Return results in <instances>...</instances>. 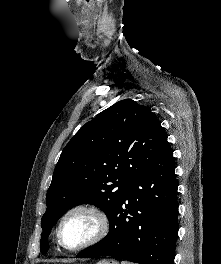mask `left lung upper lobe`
I'll use <instances>...</instances> for the list:
<instances>
[{
    "label": "left lung upper lobe",
    "instance_id": "1",
    "mask_svg": "<svg viewBox=\"0 0 221 264\" xmlns=\"http://www.w3.org/2000/svg\"><path fill=\"white\" fill-rule=\"evenodd\" d=\"M166 142L154 113L131 99L82 126L62 151L47 191L41 252L47 253L51 229L69 208L93 204L109 217L130 182L155 161Z\"/></svg>",
    "mask_w": 221,
    "mask_h": 264
}]
</instances>
